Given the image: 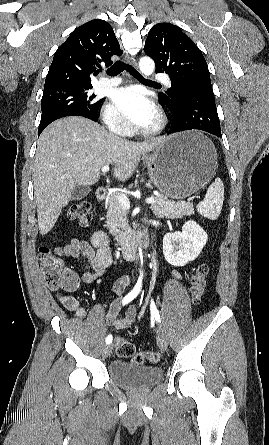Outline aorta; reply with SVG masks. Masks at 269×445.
Wrapping results in <instances>:
<instances>
[{
    "instance_id": "obj_1",
    "label": "aorta",
    "mask_w": 269,
    "mask_h": 445,
    "mask_svg": "<svg viewBox=\"0 0 269 445\" xmlns=\"http://www.w3.org/2000/svg\"><path fill=\"white\" fill-rule=\"evenodd\" d=\"M139 67L141 72L146 76L151 75L155 70L154 61L149 57L141 58L139 62Z\"/></svg>"
}]
</instances>
